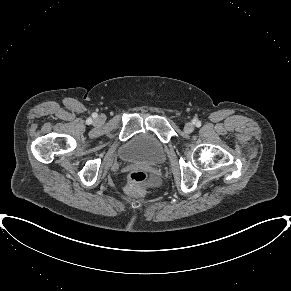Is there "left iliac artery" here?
Instances as JSON below:
<instances>
[{
	"label": "left iliac artery",
	"mask_w": 291,
	"mask_h": 291,
	"mask_svg": "<svg viewBox=\"0 0 291 291\" xmlns=\"http://www.w3.org/2000/svg\"><path fill=\"white\" fill-rule=\"evenodd\" d=\"M194 124L196 125V127L201 126V122L199 120H194Z\"/></svg>",
	"instance_id": "left-iliac-artery-1"
}]
</instances>
